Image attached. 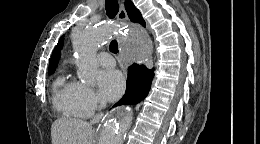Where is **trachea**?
I'll list each match as a JSON object with an SVG mask.
<instances>
[{
	"mask_svg": "<svg viewBox=\"0 0 260 144\" xmlns=\"http://www.w3.org/2000/svg\"><path fill=\"white\" fill-rule=\"evenodd\" d=\"M105 9L106 14L109 18H114L118 11H119V5L117 0H106L105 1ZM110 52L116 54L118 52V44L116 40H112L109 45Z\"/></svg>",
	"mask_w": 260,
	"mask_h": 144,
	"instance_id": "trachea-1",
	"label": "trachea"
}]
</instances>
